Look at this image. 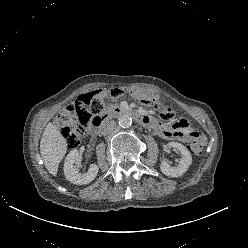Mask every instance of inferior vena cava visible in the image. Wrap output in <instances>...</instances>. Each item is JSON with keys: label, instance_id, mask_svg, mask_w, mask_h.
<instances>
[{"label": "inferior vena cava", "instance_id": "obj_1", "mask_svg": "<svg viewBox=\"0 0 248 248\" xmlns=\"http://www.w3.org/2000/svg\"><path fill=\"white\" fill-rule=\"evenodd\" d=\"M115 127H116V123L113 120L104 122V124L102 125V134L103 135L111 134L114 131Z\"/></svg>", "mask_w": 248, "mask_h": 248}]
</instances>
